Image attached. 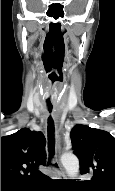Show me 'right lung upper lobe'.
I'll return each instance as SVG.
<instances>
[{"instance_id": "cb5924a9", "label": "right lung upper lobe", "mask_w": 115, "mask_h": 191, "mask_svg": "<svg viewBox=\"0 0 115 191\" xmlns=\"http://www.w3.org/2000/svg\"><path fill=\"white\" fill-rule=\"evenodd\" d=\"M45 143L42 132L29 128L1 137V187L21 189L46 179L38 170L46 163Z\"/></svg>"}]
</instances>
